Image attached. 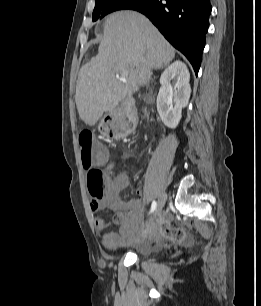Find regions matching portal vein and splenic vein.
Wrapping results in <instances>:
<instances>
[{
	"label": "portal vein and splenic vein",
	"mask_w": 261,
	"mask_h": 306,
	"mask_svg": "<svg viewBox=\"0 0 261 306\" xmlns=\"http://www.w3.org/2000/svg\"><path fill=\"white\" fill-rule=\"evenodd\" d=\"M127 77H128V72H126V71L120 73V77L117 76V78L120 79V80L123 81V82H126V81H127V79H126Z\"/></svg>",
	"instance_id": "18ae733b"
}]
</instances>
